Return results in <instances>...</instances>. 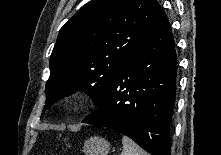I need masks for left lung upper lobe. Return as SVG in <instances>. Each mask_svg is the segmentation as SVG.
Here are the masks:
<instances>
[{
  "label": "left lung upper lobe",
  "mask_w": 221,
  "mask_h": 155,
  "mask_svg": "<svg viewBox=\"0 0 221 155\" xmlns=\"http://www.w3.org/2000/svg\"><path fill=\"white\" fill-rule=\"evenodd\" d=\"M163 9L156 0H91L61 28L44 109L76 91L98 105Z\"/></svg>",
  "instance_id": "left-lung-upper-lobe-1"
}]
</instances>
